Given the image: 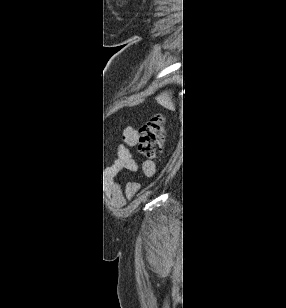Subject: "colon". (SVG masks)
Wrapping results in <instances>:
<instances>
[{
	"label": "colon",
	"mask_w": 286,
	"mask_h": 308,
	"mask_svg": "<svg viewBox=\"0 0 286 308\" xmlns=\"http://www.w3.org/2000/svg\"><path fill=\"white\" fill-rule=\"evenodd\" d=\"M165 137V119L162 115H155L141 130L139 152L146 158H154L161 150Z\"/></svg>",
	"instance_id": "obj_1"
}]
</instances>
